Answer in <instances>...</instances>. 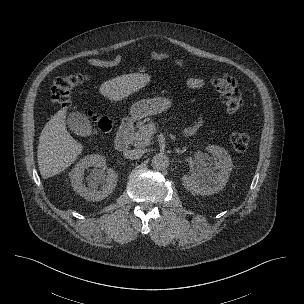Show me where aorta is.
<instances>
[{"instance_id":"obj_1","label":"aorta","mask_w":304,"mask_h":304,"mask_svg":"<svg viewBox=\"0 0 304 304\" xmlns=\"http://www.w3.org/2000/svg\"><path fill=\"white\" fill-rule=\"evenodd\" d=\"M151 165L155 170H165L169 166V158L164 153H157L153 156Z\"/></svg>"}]
</instances>
